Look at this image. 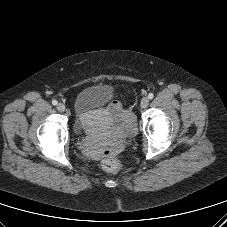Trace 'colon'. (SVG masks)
Here are the masks:
<instances>
[{"label":"colon","instance_id":"1","mask_svg":"<svg viewBox=\"0 0 227 227\" xmlns=\"http://www.w3.org/2000/svg\"><path fill=\"white\" fill-rule=\"evenodd\" d=\"M102 167L109 172H118L122 169V164L107 151L102 161Z\"/></svg>","mask_w":227,"mask_h":227}]
</instances>
